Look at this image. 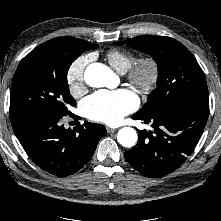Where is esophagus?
<instances>
[{"label":"esophagus","instance_id":"34e87169","mask_svg":"<svg viewBox=\"0 0 221 221\" xmlns=\"http://www.w3.org/2000/svg\"><path fill=\"white\" fill-rule=\"evenodd\" d=\"M106 129H107L108 133H114L117 130V129L111 128V127H106Z\"/></svg>","mask_w":221,"mask_h":221}]
</instances>
